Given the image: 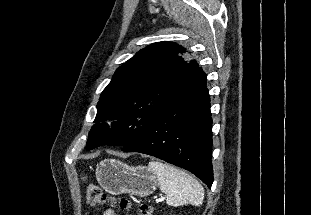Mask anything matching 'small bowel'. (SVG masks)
Returning <instances> with one entry per match:
<instances>
[{"mask_svg": "<svg viewBox=\"0 0 311 215\" xmlns=\"http://www.w3.org/2000/svg\"><path fill=\"white\" fill-rule=\"evenodd\" d=\"M102 215H117L116 212L112 209H107L103 212Z\"/></svg>", "mask_w": 311, "mask_h": 215, "instance_id": "c3829d8e", "label": "small bowel"}]
</instances>
